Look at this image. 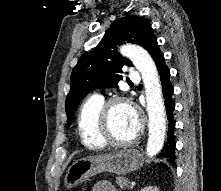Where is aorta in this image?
<instances>
[{"mask_svg": "<svg viewBox=\"0 0 221 191\" xmlns=\"http://www.w3.org/2000/svg\"><path fill=\"white\" fill-rule=\"evenodd\" d=\"M121 54L133 62L143 78L149 118L146 153L153 157L163 148L166 133L165 109L158 70L150 54L142 47L127 44L121 47Z\"/></svg>", "mask_w": 221, "mask_h": 191, "instance_id": "1", "label": "aorta"}]
</instances>
